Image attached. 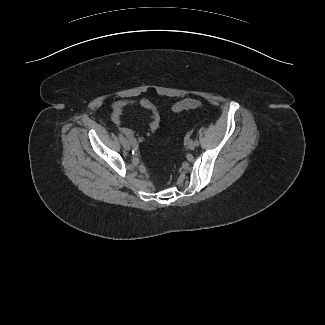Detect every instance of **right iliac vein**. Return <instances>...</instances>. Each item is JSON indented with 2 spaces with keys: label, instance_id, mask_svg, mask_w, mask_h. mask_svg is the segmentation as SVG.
<instances>
[{
  "label": "right iliac vein",
  "instance_id": "1",
  "mask_svg": "<svg viewBox=\"0 0 325 325\" xmlns=\"http://www.w3.org/2000/svg\"><path fill=\"white\" fill-rule=\"evenodd\" d=\"M122 145L123 147L126 149V150H129L130 149V144L128 142L127 139L124 138V140L122 141Z\"/></svg>",
  "mask_w": 325,
  "mask_h": 325
}]
</instances>
